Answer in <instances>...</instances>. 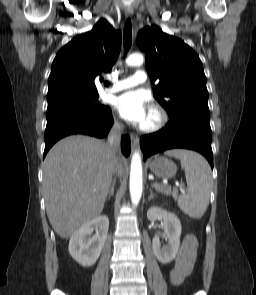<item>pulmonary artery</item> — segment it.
<instances>
[{"mask_svg": "<svg viewBox=\"0 0 256 295\" xmlns=\"http://www.w3.org/2000/svg\"><path fill=\"white\" fill-rule=\"evenodd\" d=\"M147 75L144 70H137L132 76L118 80L112 87L105 89L106 92H118L145 83Z\"/></svg>", "mask_w": 256, "mask_h": 295, "instance_id": "e3ab8cb5", "label": "pulmonary artery"}]
</instances>
